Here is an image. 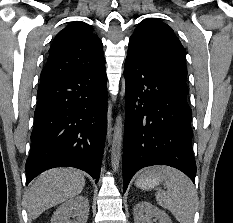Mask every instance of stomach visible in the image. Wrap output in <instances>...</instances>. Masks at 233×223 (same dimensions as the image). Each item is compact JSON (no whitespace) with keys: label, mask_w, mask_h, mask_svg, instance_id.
I'll use <instances>...</instances> for the list:
<instances>
[{"label":"stomach","mask_w":233,"mask_h":223,"mask_svg":"<svg viewBox=\"0 0 233 223\" xmlns=\"http://www.w3.org/2000/svg\"><path fill=\"white\" fill-rule=\"evenodd\" d=\"M165 167H148L145 169L143 173H141L140 177L136 179V187H140V189H155L160 185L163 177H165Z\"/></svg>","instance_id":"0dacf381"}]
</instances>
